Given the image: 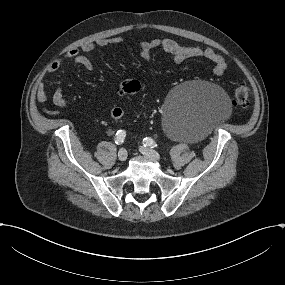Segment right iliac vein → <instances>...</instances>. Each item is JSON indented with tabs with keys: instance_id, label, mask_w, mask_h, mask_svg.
<instances>
[{
	"instance_id": "1",
	"label": "right iliac vein",
	"mask_w": 285,
	"mask_h": 285,
	"mask_svg": "<svg viewBox=\"0 0 285 285\" xmlns=\"http://www.w3.org/2000/svg\"><path fill=\"white\" fill-rule=\"evenodd\" d=\"M118 159L121 161V162H124L126 161L127 159V150L122 148L119 150L118 152Z\"/></svg>"
}]
</instances>
